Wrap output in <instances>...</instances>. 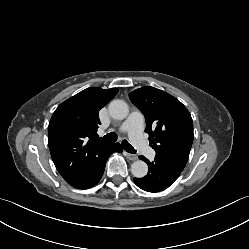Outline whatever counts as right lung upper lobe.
I'll use <instances>...</instances> for the list:
<instances>
[{"instance_id": "cb5924a9", "label": "right lung upper lobe", "mask_w": 249, "mask_h": 249, "mask_svg": "<svg viewBox=\"0 0 249 249\" xmlns=\"http://www.w3.org/2000/svg\"><path fill=\"white\" fill-rule=\"evenodd\" d=\"M118 89L87 88L64 101L48 126V144L61 176L74 185L85 173L99 150L109 143L98 139L99 110Z\"/></svg>"}]
</instances>
